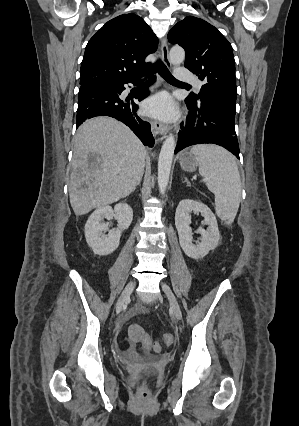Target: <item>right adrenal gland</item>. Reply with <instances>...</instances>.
Segmentation results:
<instances>
[{
	"instance_id": "obj_1",
	"label": "right adrenal gland",
	"mask_w": 299,
	"mask_h": 426,
	"mask_svg": "<svg viewBox=\"0 0 299 426\" xmlns=\"http://www.w3.org/2000/svg\"><path fill=\"white\" fill-rule=\"evenodd\" d=\"M141 180H142V177H141L140 179H138V181H137V183H136V186H135V188H134V190H133V191H135V190H136V188L140 185Z\"/></svg>"
}]
</instances>
